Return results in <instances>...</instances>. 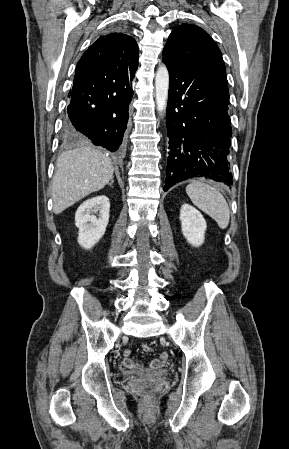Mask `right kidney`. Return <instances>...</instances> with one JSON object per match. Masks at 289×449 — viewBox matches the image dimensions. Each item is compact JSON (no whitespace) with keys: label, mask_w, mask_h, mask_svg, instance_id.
Wrapping results in <instances>:
<instances>
[{"label":"right kidney","mask_w":289,"mask_h":449,"mask_svg":"<svg viewBox=\"0 0 289 449\" xmlns=\"http://www.w3.org/2000/svg\"><path fill=\"white\" fill-rule=\"evenodd\" d=\"M110 202L100 195L83 202L76 211L75 225L79 229L78 243L91 249L103 237L109 222ZM98 217L95 214H98Z\"/></svg>","instance_id":"obj_1"}]
</instances>
